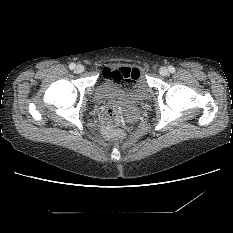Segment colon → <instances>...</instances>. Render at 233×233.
<instances>
[{"label":"colon","mask_w":233,"mask_h":233,"mask_svg":"<svg viewBox=\"0 0 233 233\" xmlns=\"http://www.w3.org/2000/svg\"><path fill=\"white\" fill-rule=\"evenodd\" d=\"M115 76L124 89H131L135 79L130 68L123 67L115 71ZM128 112L127 106L122 103L106 104L100 111L101 131L111 140H124L126 131L124 121Z\"/></svg>","instance_id":"5ec220e1"}]
</instances>
